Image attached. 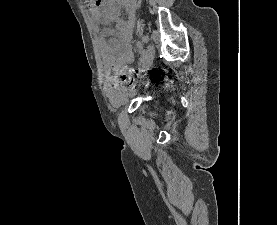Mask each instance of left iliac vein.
I'll list each match as a JSON object with an SVG mask.
<instances>
[{"label":"left iliac vein","instance_id":"left-iliac-vein-1","mask_svg":"<svg viewBox=\"0 0 277 225\" xmlns=\"http://www.w3.org/2000/svg\"><path fill=\"white\" fill-rule=\"evenodd\" d=\"M154 57H155L154 47L153 45L149 44L147 46V49L144 55V61L142 65L143 71H147L152 66Z\"/></svg>","mask_w":277,"mask_h":225}]
</instances>
